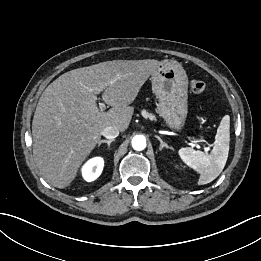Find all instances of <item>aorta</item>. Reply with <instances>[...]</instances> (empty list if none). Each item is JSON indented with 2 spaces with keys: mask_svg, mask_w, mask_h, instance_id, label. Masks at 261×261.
Instances as JSON below:
<instances>
[{
  "mask_svg": "<svg viewBox=\"0 0 261 261\" xmlns=\"http://www.w3.org/2000/svg\"><path fill=\"white\" fill-rule=\"evenodd\" d=\"M132 147L134 150L141 151L146 148V139L142 135H136L132 139Z\"/></svg>",
  "mask_w": 261,
  "mask_h": 261,
  "instance_id": "762f6f07",
  "label": "aorta"
}]
</instances>
